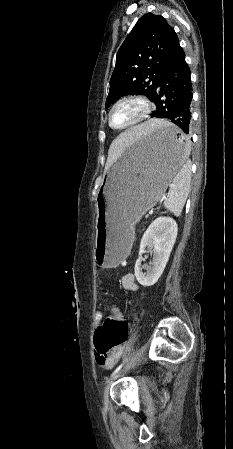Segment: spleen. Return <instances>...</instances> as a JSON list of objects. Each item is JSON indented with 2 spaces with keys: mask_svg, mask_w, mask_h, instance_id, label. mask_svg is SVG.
<instances>
[{
  "mask_svg": "<svg viewBox=\"0 0 233 449\" xmlns=\"http://www.w3.org/2000/svg\"><path fill=\"white\" fill-rule=\"evenodd\" d=\"M189 153L190 143L187 144V157ZM190 188L191 165L186 158L184 163L179 168L177 175L173 179L167 198L164 201L165 208L171 211L175 216H180L188 197Z\"/></svg>",
  "mask_w": 233,
  "mask_h": 449,
  "instance_id": "1",
  "label": "spleen"
}]
</instances>
